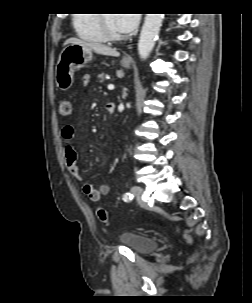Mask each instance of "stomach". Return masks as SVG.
<instances>
[{
  "mask_svg": "<svg viewBox=\"0 0 252 303\" xmlns=\"http://www.w3.org/2000/svg\"><path fill=\"white\" fill-rule=\"evenodd\" d=\"M93 58L92 50L82 44H69L60 53L55 68V82L59 89L66 91L74 82L75 69L83 67ZM121 65L130 67V60L123 59Z\"/></svg>",
  "mask_w": 252,
  "mask_h": 303,
  "instance_id": "1",
  "label": "stomach"
}]
</instances>
